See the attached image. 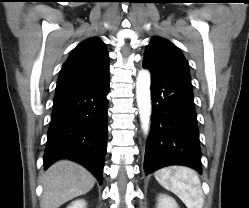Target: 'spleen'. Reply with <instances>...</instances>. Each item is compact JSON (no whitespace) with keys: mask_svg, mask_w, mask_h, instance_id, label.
I'll return each mask as SVG.
<instances>
[{"mask_svg":"<svg viewBox=\"0 0 249 208\" xmlns=\"http://www.w3.org/2000/svg\"><path fill=\"white\" fill-rule=\"evenodd\" d=\"M156 180L177 195L187 208H202L203 192L197 173L184 166L165 167L155 173Z\"/></svg>","mask_w":249,"mask_h":208,"instance_id":"obj_1","label":"spleen"}]
</instances>
